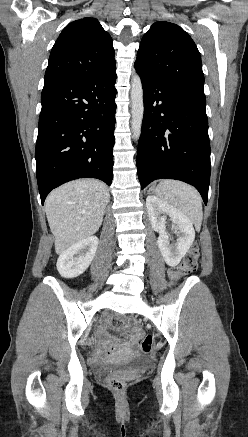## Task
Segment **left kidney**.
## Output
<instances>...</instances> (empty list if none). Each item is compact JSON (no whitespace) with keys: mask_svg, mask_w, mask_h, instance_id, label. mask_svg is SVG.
I'll use <instances>...</instances> for the list:
<instances>
[{"mask_svg":"<svg viewBox=\"0 0 248 437\" xmlns=\"http://www.w3.org/2000/svg\"><path fill=\"white\" fill-rule=\"evenodd\" d=\"M146 207L151 226L159 233L157 244L165 262L169 266L178 265L195 239V230L191 221L182 212L157 196H148L146 198ZM164 215H169L174 224L173 229L177 235L175 243L170 244Z\"/></svg>","mask_w":248,"mask_h":437,"instance_id":"1","label":"left kidney"}]
</instances>
